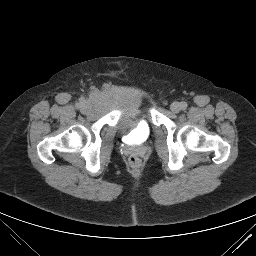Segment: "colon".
I'll list each match as a JSON object with an SVG mask.
<instances>
[{
  "mask_svg": "<svg viewBox=\"0 0 256 256\" xmlns=\"http://www.w3.org/2000/svg\"><path fill=\"white\" fill-rule=\"evenodd\" d=\"M129 165L132 168H139L141 165V160L138 156L136 155H131L128 159Z\"/></svg>",
  "mask_w": 256,
  "mask_h": 256,
  "instance_id": "obj_1",
  "label": "colon"
}]
</instances>
